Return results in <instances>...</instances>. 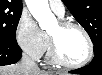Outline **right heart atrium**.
<instances>
[{"label": "right heart atrium", "mask_w": 102, "mask_h": 75, "mask_svg": "<svg viewBox=\"0 0 102 75\" xmlns=\"http://www.w3.org/2000/svg\"><path fill=\"white\" fill-rule=\"evenodd\" d=\"M20 47L33 59L43 57L47 48V37L29 14H22L15 29Z\"/></svg>", "instance_id": "obj_1"}]
</instances>
